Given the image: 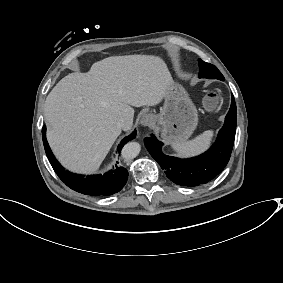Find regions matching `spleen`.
<instances>
[{
    "mask_svg": "<svg viewBox=\"0 0 283 283\" xmlns=\"http://www.w3.org/2000/svg\"><path fill=\"white\" fill-rule=\"evenodd\" d=\"M211 135V131H204L192 139L176 141L174 147L183 155L194 154L208 146Z\"/></svg>",
    "mask_w": 283,
    "mask_h": 283,
    "instance_id": "spleen-1",
    "label": "spleen"
}]
</instances>
